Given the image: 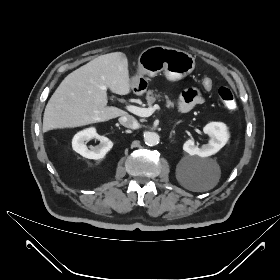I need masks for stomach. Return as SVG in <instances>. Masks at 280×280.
<instances>
[{"instance_id": "0dacf381", "label": "stomach", "mask_w": 280, "mask_h": 280, "mask_svg": "<svg viewBox=\"0 0 280 280\" xmlns=\"http://www.w3.org/2000/svg\"><path fill=\"white\" fill-rule=\"evenodd\" d=\"M195 68V59L186 51L165 47L151 46L138 58L137 74L131 79V87L145 90L147 77H154L163 72L167 80L174 82L190 74Z\"/></svg>"}]
</instances>
